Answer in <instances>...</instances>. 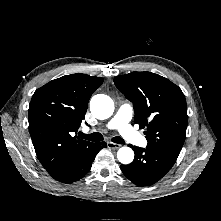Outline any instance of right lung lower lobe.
I'll list each match as a JSON object with an SVG mask.
<instances>
[{"instance_id":"98d812e1","label":"right lung lower lobe","mask_w":221,"mask_h":221,"mask_svg":"<svg viewBox=\"0 0 221 221\" xmlns=\"http://www.w3.org/2000/svg\"><path fill=\"white\" fill-rule=\"evenodd\" d=\"M107 144L102 142L100 144L93 143L80 156L71 160L50 172V175L57 181L63 183H72L84 177L92 166L97 153Z\"/></svg>"}]
</instances>
